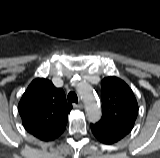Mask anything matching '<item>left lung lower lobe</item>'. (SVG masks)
Here are the masks:
<instances>
[{"instance_id": "left-lung-lower-lobe-1", "label": "left lung lower lobe", "mask_w": 160, "mask_h": 158, "mask_svg": "<svg viewBox=\"0 0 160 158\" xmlns=\"http://www.w3.org/2000/svg\"><path fill=\"white\" fill-rule=\"evenodd\" d=\"M91 130L96 139L104 144H113L124 138V136L107 130L97 123L91 124Z\"/></svg>"}]
</instances>
